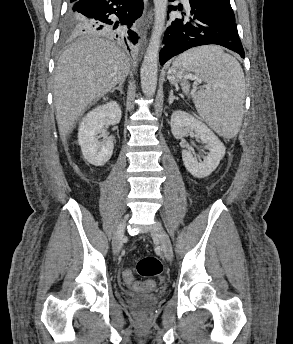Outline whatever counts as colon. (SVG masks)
Listing matches in <instances>:
<instances>
[{"instance_id": "1", "label": "colon", "mask_w": 293, "mask_h": 344, "mask_svg": "<svg viewBox=\"0 0 293 344\" xmlns=\"http://www.w3.org/2000/svg\"><path fill=\"white\" fill-rule=\"evenodd\" d=\"M137 272L140 276L144 278H153L160 276L163 272V263L161 260L157 257H145L137 263ZM123 278L126 283L133 285L134 282V277L129 269H125L123 271ZM154 286V283L152 281H147L144 285L143 288L144 290H148Z\"/></svg>"}]
</instances>
